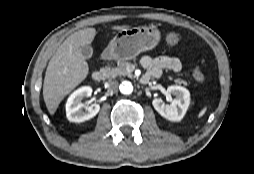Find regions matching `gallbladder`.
<instances>
[{
	"mask_svg": "<svg viewBox=\"0 0 254 174\" xmlns=\"http://www.w3.org/2000/svg\"><path fill=\"white\" fill-rule=\"evenodd\" d=\"M81 53L84 56L85 59H89L92 57L93 55V49L90 45H85L82 46L81 48Z\"/></svg>",
	"mask_w": 254,
	"mask_h": 174,
	"instance_id": "gallbladder-1",
	"label": "gallbladder"
}]
</instances>
